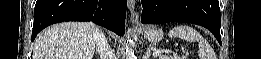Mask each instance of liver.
Wrapping results in <instances>:
<instances>
[{
    "label": "liver",
    "instance_id": "liver-1",
    "mask_svg": "<svg viewBox=\"0 0 261 59\" xmlns=\"http://www.w3.org/2000/svg\"><path fill=\"white\" fill-rule=\"evenodd\" d=\"M95 24L66 22L46 28L34 42L33 59H92Z\"/></svg>",
    "mask_w": 261,
    "mask_h": 59
}]
</instances>
